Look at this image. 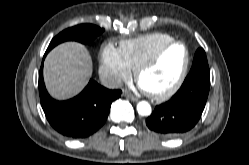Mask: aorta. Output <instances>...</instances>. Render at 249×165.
Segmentation results:
<instances>
[{
	"mask_svg": "<svg viewBox=\"0 0 249 165\" xmlns=\"http://www.w3.org/2000/svg\"><path fill=\"white\" fill-rule=\"evenodd\" d=\"M137 111L141 116H148L151 114V106L146 101H141L137 104Z\"/></svg>",
	"mask_w": 249,
	"mask_h": 165,
	"instance_id": "aorta-1",
	"label": "aorta"
}]
</instances>
